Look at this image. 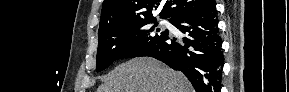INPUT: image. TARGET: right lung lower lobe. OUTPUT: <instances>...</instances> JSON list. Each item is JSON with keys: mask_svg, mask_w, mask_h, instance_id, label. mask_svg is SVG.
<instances>
[{"mask_svg": "<svg viewBox=\"0 0 289 92\" xmlns=\"http://www.w3.org/2000/svg\"><path fill=\"white\" fill-rule=\"evenodd\" d=\"M171 23L186 34L169 38L145 48L136 57L150 56L182 71L196 92H219L224 64L216 3L179 15Z\"/></svg>", "mask_w": 289, "mask_h": 92, "instance_id": "98d812e1", "label": "right lung lower lobe"}]
</instances>
